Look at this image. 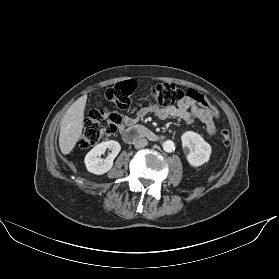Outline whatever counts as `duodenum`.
<instances>
[{"label": "duodenum", "instance_id": "410a0bca", "mask_svg": "<svg viewBox=\"0 0 279 279\" xmlns=\"http://www.w3.org/2000/svg\"><path fill=\"white\" fill-rule=\"evenodd\" d=\"M122 139L126 143H133L136 140L145 138L151 141H158L162 139V135L153 132L142 126H134L127 130H124L121 134Z\"/></svg>", "mask_w": 279, "mask_h": 279}]
</instances>
